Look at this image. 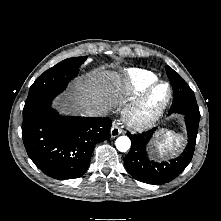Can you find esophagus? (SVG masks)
<instances>
[{
	"instance_id": "obj_1",
	"label": "esophagus",
	"mask_w": 221,
	"mask_h": 221,
	"mask_svg": "<svg viewBox=\"0 0 221 221\" xmlns=\"http://www.w3.org/2000/svg\"><path fill=\"white\" fill-rule=\"evenodd\" d=\"M122 133V129L120 128V126L117 123H113L112 127H111V138H115L117 136H119Z\"/></svg>"
}]
</instances>
